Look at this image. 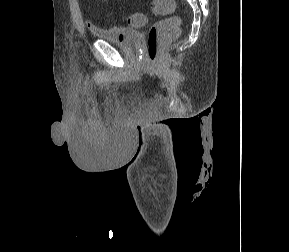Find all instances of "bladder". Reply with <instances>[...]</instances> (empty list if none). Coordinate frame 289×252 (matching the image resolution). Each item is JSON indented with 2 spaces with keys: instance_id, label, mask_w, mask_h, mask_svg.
<instances>
[{
  "instance_id": "obj_1",
  "label": "bladder",
  "mask_w": 289,
  "mask_h": 252,
  "mask_svg": "<svg viewBox=\"0 0 289 252\" xmlns=\"http://www.w3.org/2000/svg\"><path fill=\"white\" fill-rule=\"evenodd\" d=\"M91 32L98 39L126 48L133 47L140 41L139 31L121 26L92 27Z\"/></svg>"
}]
</instances>
